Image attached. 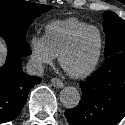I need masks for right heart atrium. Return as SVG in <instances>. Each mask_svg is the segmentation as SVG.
Listing matches in <instances>:
<instances>
[{"mask_svg":"<svg viewBox=\"0 0 125 125\" xmlns=\"http://www.w3.org/2000/svg\"><path fill=\"white\" fill-rule=\"evenodd\" d=\"M30 58L37 68L51 64L56 56L47 46L44 36L32 35L29 39Z\"/></svg>","mask_w":125,"mask_h":125,"instance_id":"d8ad5b80","label":"right heart atrium"}]
</instances>
